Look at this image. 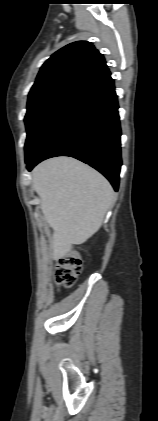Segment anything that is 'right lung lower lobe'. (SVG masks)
Returning a JSON list of instances; mask_svg holds the SVG:
<instances>
[{
    "label": "right lung lower lobe",
    "mask_w": 158,
    "mask_h": 421,
    "mask_svg": "<svg viewBox=\"0 0 158 421\" xmlns=\"http://www.w3.org/2000/svg\"><path fill=\"white\" fill-rule=\"evenodd\" d=\"M117 109L106 68L81 84L56 112L26 159L27 169L47 158L71 156L101 172L117 191L122 164Z\"/></svg>",
    "instance_id": "1"
}]
</instances>
